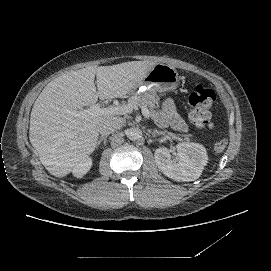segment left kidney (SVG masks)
I'll use <instances>...</instances> for the list:
<instances>
[{"label": "left kidney", "instance_id": "left-kidney-1", "mask_svg": "<svg viewBox=\"0 0 271 271\" xmlns=\"http://www.w3.org/2000/svg\"><path fill=\"white\" fill-rule=\"evenodd\" d=\"M176 158H171L167 148L155 150V163L164 175L176 181H194L198 179L204 166L207 164L208 155L203 145L198 143H178Z\"/></svg>", "mask_w": 271, "mask_h": 271}]
</instances>
